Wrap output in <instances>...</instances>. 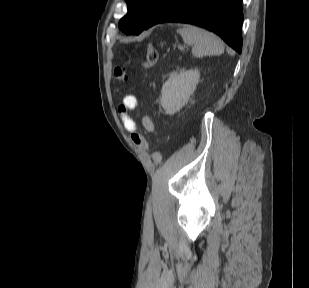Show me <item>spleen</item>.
Returning a JSON list of instances; mask_svg holds the SVG:
<instances>
[{
    "label": "spleen",
    "instance_id": "obj_1",
    "mask_svg": "<svg viewBox=\"0 0 309 288\" xmlns=\"http://www.w3.org/2000/svg\"><path fill=\"white\" fill-rule=\"evenodd\" d=\"M185 44L192 45L195 57L221 55L224 53L222 41L213 33L195 26H185L177 31Z\"/></svg>",
    "mask_w": 309,
    "mask_h": 288
}]
</instances>
